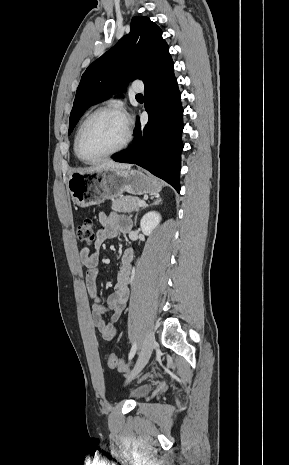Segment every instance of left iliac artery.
Returning <instances> with one entry per match:
<instances>
[{
  "mask_svg": "<svg viewBox=\"0 0 289 465\" xmlns=\"http://www.w3.org/2000/svg\"><path fill=\"white\" fill-rule=\"evenodd\" d=\"M136 350H137V344L134 343L129 353V360H131L134 357Z\"/></svg>",
  "mask_w": 289,
  "mask_h": 465,
  "instance_id": "44dca946",
  "label": "left iliac artery"
}]
</instances>
